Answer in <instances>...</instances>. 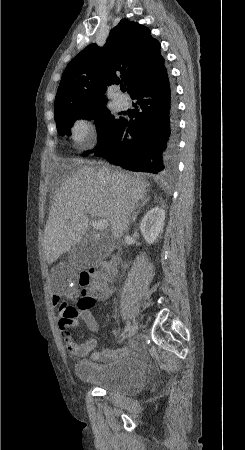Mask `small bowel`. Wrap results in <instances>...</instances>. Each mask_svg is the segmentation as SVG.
<instances>
[{"label":"small bowel","mask_w":245,"mask_h":450,"mask_svg":"<svg viewBox=\"0 0 245 450\" xmlns=\"http://www.w3.org/2000/svg\"><path fill=\"white\" fill-rule=\"evenodd\" d=\"M112 293H113V288L109 287L108 285L104 288L95 286L92 289L91 297L94 301L95 300H104V299L109 298L112 295ZM73 296H74L73 293L68 295L69 298H71ZM61 301H62V296L52 295L50 297V304L52 306L59 305V303ZM79 315H80L81 320L85 323V325L87 326L88 329H90L93 332L99 331V325H98L96 319L94 318L91 309L84 310V311L79 310ZM59 329L62 334L63 342H64L68 352L72 355H75V356L87 355L90 352H92L97 346L98 342H97L96 338H89L86 341H84L83 343L77 344L71 335L66 337V332H67L68 328L65 325H63L60 320H59ZM112 332L116 333V330H113ZM126 351H127V348H122V349L114 352V354L122 355ZM108 354L109 353L104 350L94 351L92 353V357H93V359H98L101 356L108 355Z\"/></svg>","instance_id":"1"}]
</instances>
